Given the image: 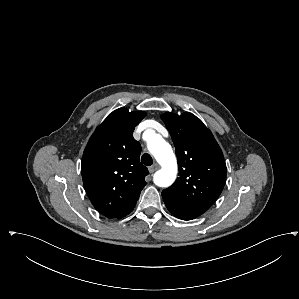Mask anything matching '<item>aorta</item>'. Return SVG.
I'll return each instance as SVG.
<instances>
[{"instance_id":"obj_1","label":"aorta","mask_w":299,"mask_h":299,"mask_svg":"<svg viewBox=\"0 0 299 299\" xmlns=\"http://www.w3.org/2000/svg\"><path fill=\"white\" fill-rule=\"evenodd\" d=\"M148 149L162 167L154 174L155 185L169 187L177 175V160L171 146L160 135H154L148 142Z\"/></svg>"}]
</instances>
